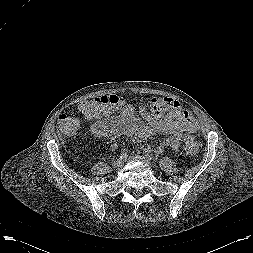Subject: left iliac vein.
Returning a JSON list of instances; mask_svg holds the SVG:
<instances>
[{
  "mask_svg": "<svg viewBox=\"0 0 253 253\" xmlns=\"http://www.w3.org/2000/svg\"><path fill=\"white\" fill-rule=\"evenodd\" d=\"M127 161H142V162H145V163H149L148 159H146L145 157L140 156V155L130 156L127 159Z\"/></svg>",
  "mask_w": 253,
  "mask_h": 253,
  "instance_id": "left-iliac-vein-1",
  "label": "left iliac vein"
}]
</instances>
